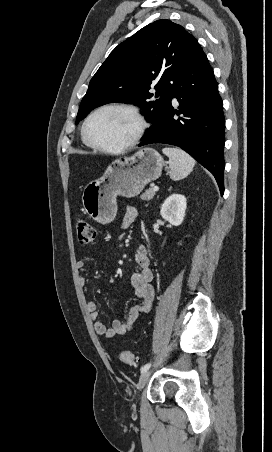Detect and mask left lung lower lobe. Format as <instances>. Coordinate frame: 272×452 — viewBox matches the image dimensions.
<instances>
[{
	"instance_id": "1",
	"label": "left lung lower lobe",
	"mask_w": 272,
	"mask_h": 452,
	"mask_svg": "<svg viewBox=\"0 0 272 452\" xmlns=\"http://www.w3.org/2000/svg\"><path fill=\"white\" fill-rule=\"evenodd\" d=\"M176 97L179 106L171 101ZM174 115L180 116L174 119ZM225 119L213 69L199 44L177 76L169 103L140 146L166 143L181 147L208 169L224 193Z\"/></svg>"
}]
</instances>
